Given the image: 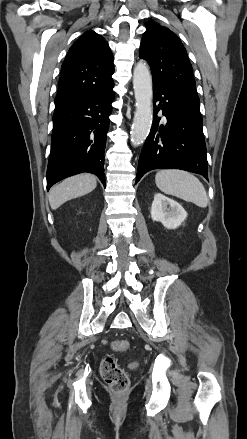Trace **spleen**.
<instances>
[{"mask_svg":"<svg viewBox=\"0 0 247 439\" xmlns=\"http://www.w3.org/2000/svg\"><path fill=\"white\" fill-rule=\"evenodd\" d=\"M157 187L164 193L176 196L196 206L206 208L208 197L197 177L182 170H161L155 176Z\"/></svg>","mask_w":247,"mask_h":439,"instance_id":"obj_1","label":"spleen"}]
</instances>
